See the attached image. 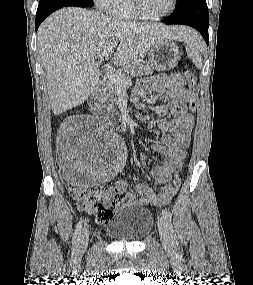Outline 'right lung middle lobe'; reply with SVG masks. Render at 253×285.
<instances>
[{
    "label": "right lung middle lobe",
    "mask_w": 253,
    "mask_h": 285,
    "mask_svg": "<svg viewBox=\"0 0 253 285\" xmlns=\"http://www.w3.org/2000/svg\"><path fill=\"white\" fill-rule=\"evenodd\" d=\"M46 1H57V2H65V3H78V4L87 5V6H92L94 4L92 0H40V3L46 2Z\"/></svg>",
    "instance_id": "obj_1"
}]
</instances>
